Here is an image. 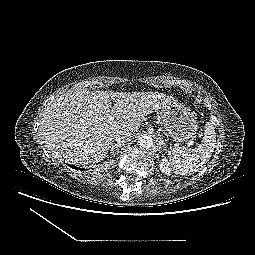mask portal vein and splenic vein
I'll return each mask as SVG.
<instances>
[{
  "mask_svg": "<svg viewBox=\"0 0 255 255\" xmlns=\"http://www.w3.org/2000/svg\"><path fill=\"white\" fill-rule=\"evenodd\" d=\"M113 119H114V118H113L112 116H109V120H113ZM187 145H188V146H192V145H194V144H193V142L190 141V142H188Z\"/></svg>",
  "mask_w": 255,
  "mask_h": 255,
  "instance_id": "obj_1",
  "label": "portal vein and splenic vein"
}]
</instances>
